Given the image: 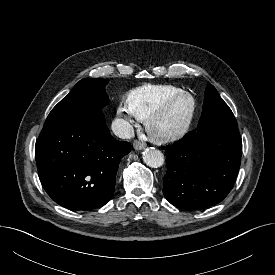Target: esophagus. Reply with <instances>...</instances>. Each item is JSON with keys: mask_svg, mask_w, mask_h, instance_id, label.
<instances>
[{"mask_svg": "<svg viewBox=\"0 0 275 275\" xmlns=\"http://www.w3.org/2000/svg\"><path fill=\"white\" fill-rule=\"evenodd\" d=\"M133 147H134V149H136V150H142V149L145 148V144H144L143 142H141V141L136 140V141H134V143H133Z\"/></svg>", "mask_w": 275, "mask_h": 275, "instance_id": "34e87169", "label": "esophagus"}]
</instances>
